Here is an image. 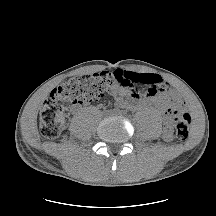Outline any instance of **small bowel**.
Segmentation results:
<instances>
[{
    "mask_svg": "<svg viewBox=\"0 0 216 216\" xmlns=\"http://www.w3.org/2000/svg\"><path fill=\"white\" fill-rule=\"evenodd\" d=\"M127 72L131 73L135 77L137 84L147 86L148 88L144 93H136L126 86H114L111 89L110 94L118 105L126 106V98H130L138 104L151 102L166 113L172 108H180L183 106L180 95L172 86L166 83L161 76L146 72ZM163 136L166 140L172 139L173 131L169 124L165 126Z\"/></svg>",
    "mask_w": 216,
    "mask_h": 216,
    "instance_id": "1",
    "label": "small bowel"
}]
</instances>
